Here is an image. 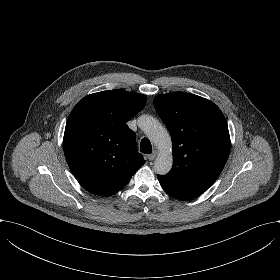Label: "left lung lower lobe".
Segmentation results:
<instances>
[{"mask_svg": "<svg viewBox=\"0 0 280 280\" xmlns=\"http://www.w3.org/2000/svg\"><path fill=\"white\" fill-rule=\"evenodd\" d=\"M162 188L165 190V192L168 194V190L166 189V188H164L163 186H162ZM180 200V199H179Z\"/></svg>", "mask_w": 280, "mask_h": 280, "instance_id": "obj_1", "label": "left lung lower lobe"}]
</instances>
